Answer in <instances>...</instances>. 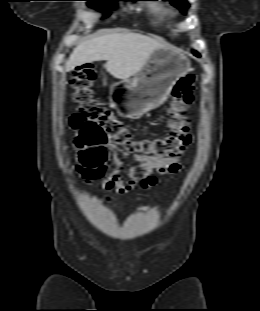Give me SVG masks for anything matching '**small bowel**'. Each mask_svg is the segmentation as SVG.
<instances>
[{
    "mask_svg": "<svg viewBox=\"0 0 260 311\" xmlns=\"http://www.w3.org/2000/svg\"><path fill=\"white\" fill-rule=\"evenodd\" d=\"M108 149L112 154V168L108 170L106 164L92 172L77 168V171L82 173L88 184H93L95 179L103 178L100 183V188L109 193L128 194L137 187L142 189H150L157 183V177L153 173L154 170L159 175H173L181 169L180 157L160 159L151 155L138 153L134 157L137 166L129 167L127 174L129 181L125 182L122 177L123 163L118 157V151L113 143L107 144ZM141 173V177H139ZM111 195L107 199H111Z\"/></svg>",
    "mask_w": 260,
    "mask_h": 311,
    "instance_id": "obj_1",
    "label": "small bowel"
}]
</instances>
